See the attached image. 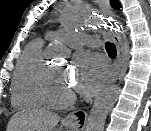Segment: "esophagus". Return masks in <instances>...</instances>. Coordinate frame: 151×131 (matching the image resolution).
<instances>
[{
    "instance_id": "34e87169",
    "label": "esophagus",
    "mask_w": 151,
    "mask_h": 131,
    "mask_svg": "<svg viewBox=\"0 0 151 131\" xmlns=\"http://www.w3.org/2000/svg\"><path fill=\"white\" fill-rule=\"evenodd\" d=\"M100 7L106 16H114L109 0H100ZM109 37L113 40L117 49V58L115 61V73L112 81H115L124 64V46L119 35L112 31H108ZM87 115L82 110H76L66 116V121L78 130H83L86 124Z\"/></svg>"
}]
</instances>
